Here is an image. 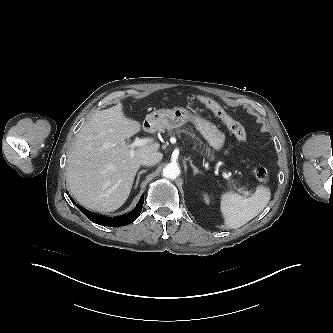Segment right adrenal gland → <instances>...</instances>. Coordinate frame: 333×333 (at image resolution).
Segmentation results:
<instances>
[{
	"instance_id": "obj_1",
	"label": "right adrenal gland",
	"mask_w": 333,
	"mask_h": 333,
	"mask_svg": "<svg viewBox=\"0 0 333 333\" xmlns=\"http://www.w3.org/2000/svg\"><path fill=\"white\" fill-rule=\"evenodd\" d=\"M145 172H147V169H143V170L139 171V173H138V175H137V179H136V183H135V187H134V188H137V187H138V183H139L140 176H141L143 173H145Z\"/></svg>"
}]
</instances>
